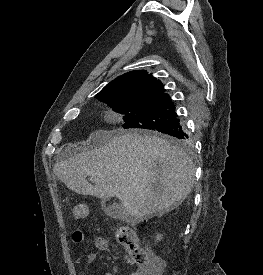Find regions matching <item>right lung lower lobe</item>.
Returning <instances> with one entry per match:
<instances>
[{
  "mask_svg": "<svg viewBox=\"0 0 263 275\" xmlns=\"http://www.w3.org/2000/svg\"><path fill=\"white\" fill-rule=\"evenodd\" d=\"M157 132L167 134V135L176 137L181 140H186V138H187V135H186L183 127L181 126L180 120H178L177 122H174L173 124L168 125L166 127L157 129Z\"/></svg>",
  "mask_w": 263,
  "mask_h": 275,
  "instance_id": "98d812e1",
  "label": "right lung lower lobe"
}]
</instances>
